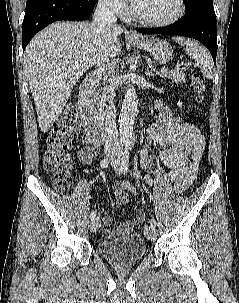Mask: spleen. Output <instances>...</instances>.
I'll return each instance as SVG.
<instances>
[{
  "instance_id": "obj_1",
  "label": "spleen",
  "mask_w": 239,
  "mask_h": 303,
  "mask_svg": "<svg viewBox=\"0 0 239 303\" xmlns=\"http://www.w3.org/2000/svg\"><path fill=\"white\" fill-rule=\"evenodd\" d=\"M178 44L185 47L186 53L191 59L196 61L201 72L208 78L213 77V61L207 49L199 43L184 37L173 38Z\"/></svg>"
}]
</instances>
